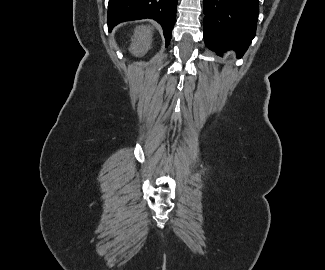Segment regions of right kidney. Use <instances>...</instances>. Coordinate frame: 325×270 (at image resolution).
Listing matches in <instances>:
<instances>
[{
	"instance_id": "ca27d5eb",
	"label": "right kidney",
	"mask_w": 325,
	"mask_h": 270,
	"mask_svg": "<svg viewBox=\"0 0 325 270\" xmlns=\"http://www.w3.org/2000/svg\"><path fill=\"white\" fill-rule=\"evenodd\" d=\"M152 43V28L139 26L135 29L129 50L137 57L143 56L150 49Z\"/></svg>"
}]
</instances>
